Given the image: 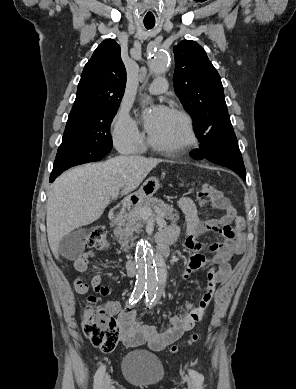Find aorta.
Returning a JSON list of instances; mask_svg holds the SVG:
<instances>
[{
	"instance_id": "aorta-1",
	"label": "aorta",
	"mask_w": 296,
	"mask_h": 389,
	"mask_svg": "<svg viewBox=\"0 0 296 389\" xmlns=\"http://www.w3.org/2000/svg\"><path fill=\"white\" fill-rule=\"evenodd\" d=\"M172 53L161 46L152 50L149 60L150 70L157 75L164 74L170 66ZM136 259L139 267L137 285L154 295L166 281L167 268L164 259L146 241H140L136 247Z\"/></svg>"
}]
</instances>
